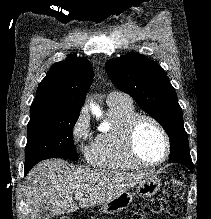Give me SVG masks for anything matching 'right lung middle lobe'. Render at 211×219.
I'll list each match as a JSON object with an SVG mask.
<instances>
[{"label":"right lung middle lobe","instance_id":"1","mask_svg":"<svg viewBox=\"0 0 211 219\" xmlns=\"http://www.w3.org/2000/svg\"><path fill=\"white\" fill-rule=\"evenodd\" d=\"M80 112H58L48 105H31L25 168L47 158L78 160L73 143V126Z\"/></svg>","mask_w":211,"mask_h":219}]
</instances>
